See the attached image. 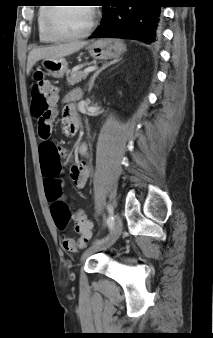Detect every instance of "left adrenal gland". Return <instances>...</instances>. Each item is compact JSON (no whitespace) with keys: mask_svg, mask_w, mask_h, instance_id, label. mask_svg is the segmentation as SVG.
<instances>
[{"mask_svg":"<svg viewBox=\"0 0 213 338\" xmlns=\"http://www.w3.org/2000/svg\"><path fill=\"white\" fill-rule=\"evenodd\" d=\"M120 60H121V58L120 59H114L113 61H111V62H109L107 64L102 65V67H100L97 71H95V73L92 75V77L90 78V81L88 83V91L89 92L91 91V89H92V87L94 85V81H95L96 77L99 75V73L102 70L106 69L108 66H110L112 64H115V63L119 62Z\"/></svg>","mask_w":213,"mask_h":338,"instance_id":"left-adrenal-gland-1","label":"left adrenal gland"}]
</instances>
